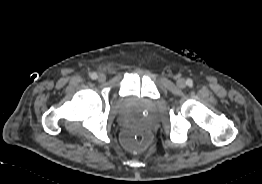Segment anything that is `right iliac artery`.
<instances>
[{
	"mask_svg": "<svg viewBox=\"0 0 262 184\" xmlns=\"http://www.w3.org/2000/svg\"><path fill=\"white\" fill-rule=\"evenodd\" d=\"M90 77L92 79H96L97 78V74L95 72H93V73L90 74Z\"/></svg>",
	"mask_w": 262,
	"mask_h": 184,
	"instance_id": "right-iliac-artery-1",
	"label": "right iliac artery"
}]
</instances>
